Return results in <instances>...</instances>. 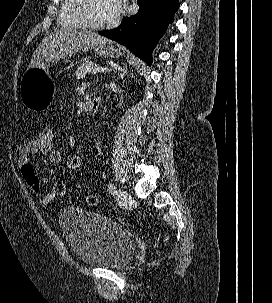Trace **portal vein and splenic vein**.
Masks as SVG:
<instances>
[{"label": "portal vein and splenic vein", "mask_w": 272, "mask_h": 303, "mask_svg": "<svg viewBox=\"0 0 272 303\" xmlns=\"http://www.w3.org/2000/svg\"><path fill=\"white\" fill-rule=\"evenodd\" d=\"M110 71H111V69H109L107 67H105V68H103V67H97V68L93 69L91 73L92 74H97V73L110 72Z\"/></svg>", "instance_id": "18ae733b"}]
</instances>
